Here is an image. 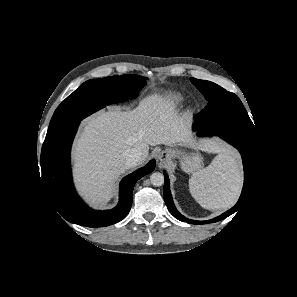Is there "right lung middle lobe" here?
Instances as JSON below:
<instances>
[{
    "mask_svg": "<svg viewBox=\"0 0 297 297\" xmlns=\"http://www.w3.org/2000/svg\"><path fill=\"white\" fill-rule=\"evenodd\" d=\"M146 84L139 75H114L84 82L55 110L45 139L51 138L106 105L137 96Z\"/></svg>",
    "mask_w": 297,
    "mask_h": 297,
    "instance_id": "obj_1",
    "label": "right lung middle lobe"
}]
</instances>
